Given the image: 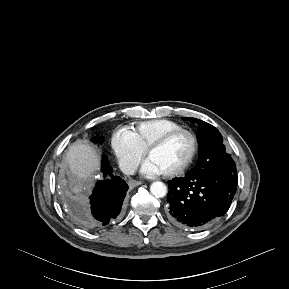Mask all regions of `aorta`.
Returning <instances> with one entry per match:
<instances>
[{
	"label": "aorta",
	"instance_id": "762f6f07",
	"mask_svg": "<svg viewBox=\"0 0 289 289\" xmlns=\"http://www.w3.org/2000/svg\"><path fill=\"white\" fill-rule=\"evenodd\" d=\"M150 191L155 197L162 198L167 193V187L163 182L156 181L151 184Z\"/></svg>",
	"mask_w": 289,
	"mask_h": 289
}]
</instances>
